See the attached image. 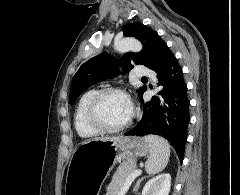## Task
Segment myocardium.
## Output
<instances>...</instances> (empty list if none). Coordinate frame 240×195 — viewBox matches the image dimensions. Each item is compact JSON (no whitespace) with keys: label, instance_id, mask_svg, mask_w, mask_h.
Returning <instances> with one entry per match:
<instances>
[{"label":"myocardium","instance_id":"myocardium-1","mask_svg":"<svg viewBox=\"0 0 240 195\" xmlns=\"http://www.w3.org/2000/svg\"><path fill=\"white\" fill-rule=\"evenodd\" d=\"M111 95H121L129 99V95L124 90L118 88H106L97 92L87 107V120L89 124L101 133H120L129 129L134 122L133 109L131 118L127 123L123 125L111 126L105 122L101 115V106L103 104V101Z\"/></svg>","mask_w":240,"mask_h":195}]
</instances>
